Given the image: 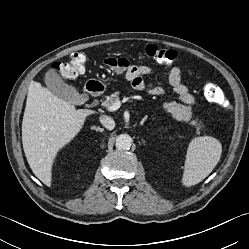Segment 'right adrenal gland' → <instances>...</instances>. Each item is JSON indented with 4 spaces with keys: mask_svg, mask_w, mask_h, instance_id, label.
I'll use <instances>...</instances> for the list:
<instances>
[{
    "mask_svg": "<svg viewBox=\"0 0 249 249\" xmlns=\"http://www.w3.org/2000/svg\"><path fill=\"white\" fill-rule=\"evenodd\" d=\"M92 129H94V130H96V131H99V132H103L104 131V129L103 128H100V127H92Z\"/></svg>",
    "mask_w": 249,
    "mask_h": 249,
    "instance_id": "2a0ac1e0",
    "label": "right adrenal gland"
}]
</instances>
